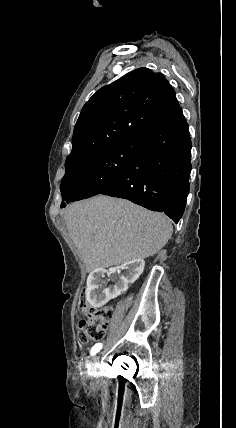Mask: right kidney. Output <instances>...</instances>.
Listing matches in <instances>:
<instances>
[{
	"mask_svg": "<svg viewBox=\"0 0 236 428\" xmlns=\"http://www.w3.org/2000/svg\"><path fill=\"white\" fill-rule=\"evenodd\" d=\"M120 268H126V270H119V280L116 283H97L94 278H98L99 280L108 278L109 270L91 269L86 288L87 302H89L91 306L100 308V306H104L106 302L112 301L113 298H117L120 294H124V292L128 290L129 284H134L139 276H141L145 268V262L142 258H136V260L125 262ZM94 290L96 292H94Z\"/></svg>",
	"mask_w": 236,
	"mask_h": 428,
	"instance_id": "ca27d5eb",
	"label": "right kidney"
}]
</instances>
